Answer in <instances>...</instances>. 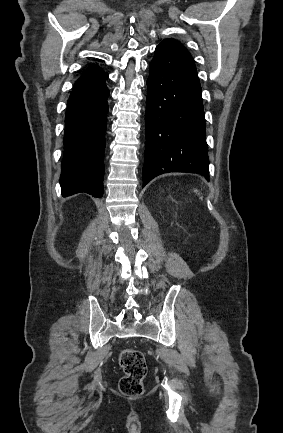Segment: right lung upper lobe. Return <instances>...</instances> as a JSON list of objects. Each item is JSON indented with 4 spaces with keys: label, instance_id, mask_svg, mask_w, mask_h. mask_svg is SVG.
Masks as SVG:
<instances>
[{
    "label": "right lung upper lobe",
    "instance_id": "cb5924a9",
    "mask_svg": "<svg viewBox=\"0 0 283 433\" xmlns=\"http://www.w3.org/2000/svg\"><path fill=\"white\" fill-rule=\"evenodd\" d=\"M106 74L98 65H90L82 77L78 81L93 79Z\"/></svg>",
    "mask_w": 283,
    "mask_h": 433
}]
</instances>
